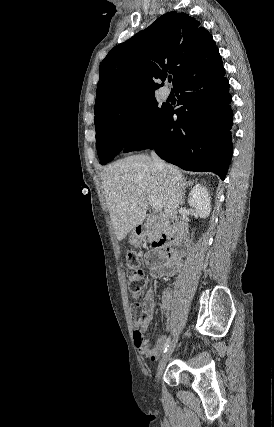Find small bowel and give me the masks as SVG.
I'll return each instance as SVG.
<instances>
[{
    "instance_id": "1",
    "label": "small bowel",
    "mask_w": 274,
    "mask_h": 427,
    "mask_svg": "<svg viewBox=\"0 0 274 427\" xmlns=\"http://www.w3.org/2000/svg\"><path fill=\"white\" fill-rule=\"evenodd\" d=\"M182 264L179 254L171 251V245L164 251L152 249L147 253V266L153 277H170L178 272ZM144 317L135 323L134 340L139 354L143 359L155 360L163 351L166 345V337H160L152 346L147 344L144 332L149 328L154 312L155 298L151 287H147L142 299ZM162 305L165 313H169L171 307V295L168 291L162 294Z\"/></svg>"
}]
</instances>
